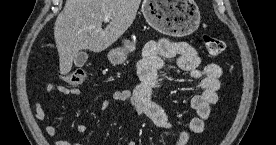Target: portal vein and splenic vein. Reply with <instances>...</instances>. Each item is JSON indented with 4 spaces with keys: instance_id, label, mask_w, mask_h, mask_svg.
<instances>
[{
    "instance_id": "18ae733b",
    "label": "portal vein and splenic vein",
    "mask_w": 276,
    "mask_h": 145,
    "mask_svg": "<svg viewBox=\"0 0 276 145\" xmlns=\"http://www.w3.org/2000/svg\"><path fill=\"white\" fill-rule=\"evenodd\" d=\"M110 20H111V18H110L109 16H105V17H104V21H105V22H109Z\"/></svg>"
}]
</instances>
